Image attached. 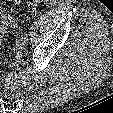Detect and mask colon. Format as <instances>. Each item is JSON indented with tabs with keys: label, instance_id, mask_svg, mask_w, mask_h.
I'll use <instances>...</instances> for the list:
<instances>
[{
	"label": "colon",
	"instance_id": "1",
	"mask_svg": "<svg viewBox=\"0 0 113 113\" xmlns=\"http://www.w3.org/2000/svg\"><path fill=\"white\" fill-rule=\"evenodd\" d=\"M8 1L18 2L19 0H8ZM41 2H42V0H28L27 1L28 12L32 13V14L36 13L37 8ZM2 23H1V25H2Z\"/></svg>",
	"mask_w": 113,
	"mask_h": 113
}]
</instances>
